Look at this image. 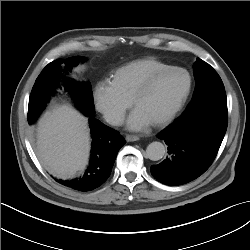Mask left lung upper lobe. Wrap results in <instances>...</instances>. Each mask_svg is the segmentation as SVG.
Wrapping results in <instances>:
<instances>
[{
  "mask_svg": "<svg viewBox=\"0 0 250 250\" xmlns=\"http://www.w3.org/2000/svg\"><path fill=\"white\" fill-rule=\"evenodd\" d=\"M194 77L196 81L195 90L193 99L187 109L192 108L204 98L214 93L225 91L222 80L217 72L200 58H197L194 63Z\"/></svg>",
  "mask_w": 250,
  "mask_h": 250,
  "instance_id": "1",
  "label": "left lung upper lobe"
}]
</instances>
